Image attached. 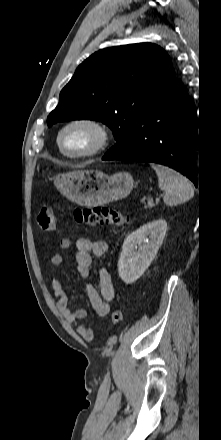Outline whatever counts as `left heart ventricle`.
<instances>
[{"mask_svg":"<svg viewBox=\"0 0 221 440\" xmlns=\"http://www.w3.org/2000/svg\"><path fill=\"white\" fill-rule=\"evenodd\" d=\"M94 142L93 134L84 127H73L62 137V146L66 151L80 152L88 149Z\"/></svg>","mask_w":221,"mask_h":440,"instance_id":"b2bd125f","label":"left heart ventricle"}]
</instances>
